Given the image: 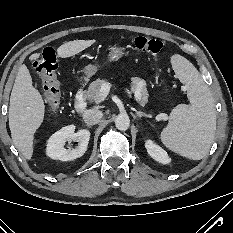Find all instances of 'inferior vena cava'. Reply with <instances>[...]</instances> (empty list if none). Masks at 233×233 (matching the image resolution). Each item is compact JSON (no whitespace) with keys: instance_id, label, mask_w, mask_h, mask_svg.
<instances>
[{"instance_id":"602c4592","label":"inferior vena cava","mask_w":233,"mask_h":233,"mask_svg":"<svg viewBox=\"0 0 233 233\" xmlns=\"http://www.w3.org/2000/svg\"><path fill=\"white\" fill-rule=\"evenodd\" d=\"M103 116V113L96 109H88L83 113V120L89 125L97 124Z\"/></svg>"}]
</instances>
